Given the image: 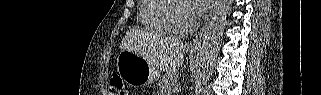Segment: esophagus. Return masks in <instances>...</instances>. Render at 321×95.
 Returning a JSON list of instances; mask_svg holds the SVG:
<instances>
[{
  "instance_id": "34e87169",
  "label": "esophagus",
  "mask_w": 321,
  "mask_h": 95,
  "mask_svg": "<svg viewBox=\"0 0 321 95\" xmlns=\"http://www.w3.org/2000/svg\"><path fill=\"white\" fill-rule=\"evenodd\" d=\"M212 14H213V10L211 11V13H210L205 25L200 30L199 34L191 41V43H190V47L191 48L201 47L202 41H203L205 33H206V30H207L208 25H209L210 20H211Z\"/></svg>"
}]
</instances>
